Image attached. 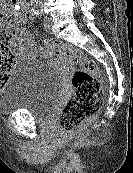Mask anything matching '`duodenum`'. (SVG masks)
<instances>
[{
  "instance_id": "duodenum-1",
  "label": "duodenum",
  "mask_w": 133,
  "mask_h": 173,
  "mask_svg": "<svg viewBox=\"0 0 133 173\" xmlns=\"http://www.w3.org/2000/svg\"><path fill=\"white\" fill-rule=\"evenodd\" d=\"M14 6L18 5L21 8L23 15L26 18H32V9L28 2L25 0H11Z\"/></svg>"
}]
</instances>
